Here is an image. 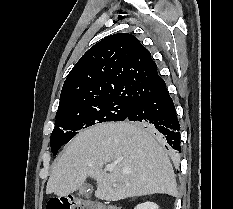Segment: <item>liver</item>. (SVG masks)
Masks as SVG:
<instances>
[{"instance_id": "liver-1", "label": "liver", "mask_w": 233, "mask_h": 209, "mask_svg": "<svg viewBox=\"0 0 233 209\" xmlns=\"http://www.w3.org/2000/svg\"><path fill=\"white\" fill-rule=\"evenodd\" d=\"M152 133L128 121L81 131L57 160L46 194L67 196L91 177L97 182L95 197L105 201L155 193L176 197L172 164ZM107 165H113V171L104 169Z\"/></svg>"}]
</instances>
